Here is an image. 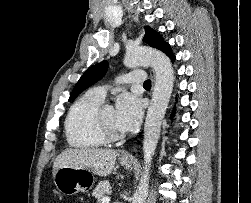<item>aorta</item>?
<instances>
[{"label":"aorta","instance_id":"obj_1","mask_svg":"<svg viewBox=\"0 0 251 203\" xmlns=\"http://www.w3.org/2000/svg\"><path fill=\"white\" fill-rule=\"evenodd\" d=\"M124 63L130 68L150 65L156 74L155 86L144 126V172L132 201V203H145L148 195L150 168L160 136L161 124L173 91L174 71L170 59L163 52L152 48H138L128 51Z\"/></svg>","mask_w":251,"mask_h":203}]
</instances>
